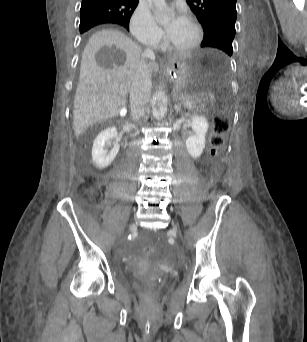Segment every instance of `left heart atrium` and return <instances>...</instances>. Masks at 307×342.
<instances>
[{
  "mask_svg": "<svg viewBox=\"0 0 307 342\" xmlns=\"http://www.w3.org/2000/svg\"><path fill=\"white\" fill-rule=\"evenodd\" d=\"M185 25L182 17H176L169 25L164 28V38L167 42L172 41L180 33Z\"/></svg>",
  "mask_w": 307,
  "mask_h": 342,
  "instance_id": "1",
  "label": "left heart atrium"
}]
</instances>
